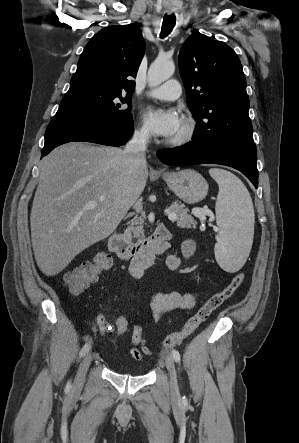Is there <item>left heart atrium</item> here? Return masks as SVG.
<instances>
[{
  "label": "left heart atrium",
  "instance_id": "obj_1",
  "mask_svg": "<svg viewBox=\"0 0 299 443\" xmlns=\"http://www.w3.org/2000/svg\"><path fill=\"white\" fill-rule=\"evenodd\" d=\"M142 118L151 133L165 138L173 137L182 124L174 109L150 107L143 112Z\"/></svg>",
  "mask_w": 299,
  "mask_h": 443
}]
</instances>
